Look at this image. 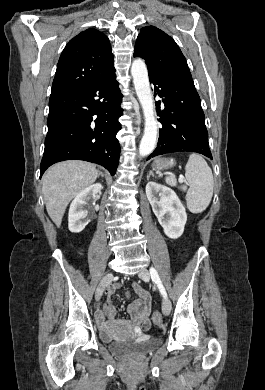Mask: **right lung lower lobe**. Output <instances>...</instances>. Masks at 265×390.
Wrapping results in <instances>:
<instances>
[{"label":"right lung lower lobe","mask_w":265,"mask_h":390,"mask_svg":"<svg viewBox=\"0 0 265 390\" xmlns=\"http://www.w3.org/2000/svg\"><path fill=\"white\" fill-rule=\"evenodd\" d=\"M122 94L115 68L81 86L52 94L40 177L52 164L69 159L104 166L111 175L119 163L116 133Z\"/></svg>","instance_id":"1"}]
</instances>
